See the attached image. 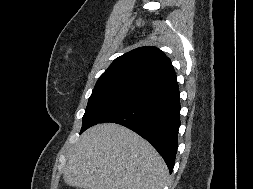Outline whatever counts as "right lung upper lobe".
<instances>
[{
	"mask_svg": "<svg viewBox=\"0 0 253 189\" xmlns=\"http://www.w3.org/2000/svg\"><path fill=\"white\" fill-rule=\"evenodd\" d=\"M177 82L170 59L158 48L134 49L113 61L95 88L125 86L147 92Z\"/></svg>",
	"mask_w": 253,
	"mask_h": 189,
	"instance_id": "cb5924a9",
	"label": "right lung upper lobe"
}]
</instances>
